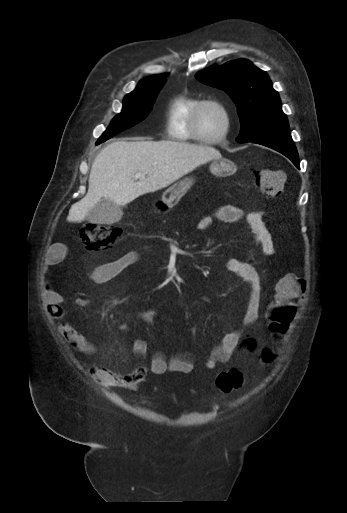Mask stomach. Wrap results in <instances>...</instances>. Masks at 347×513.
<instances>
[{"label":"stomach","mask_w":347,"mask_h":513,"mask_svg":"<svg viewBox=\"0 0 347 513\" xmlns=\"http://www.w3.org/2000/svg\"><path fill=\"white\" fill-rule=\"evenodd\" d=\"M235 168L236 165L234 162L224 158L214 160L210 165L211 173L218 177H225L232 174ZM193 183L194 180L192 178L185 177L165 190L160 200V203L163 205L162 209H171L178 202V200L192 187Z\"/></svg>","instance_id":"0dacf381"}]
</instances>
